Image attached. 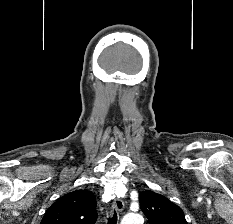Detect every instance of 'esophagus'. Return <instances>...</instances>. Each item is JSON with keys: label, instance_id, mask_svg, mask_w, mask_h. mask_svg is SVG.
Masks as SVG:
<instances>
[{"label": "esophagus", "instance_id": "esophagus-1", "mask_svg": "<svg viewBox=\"0 0 233 224\" xmlns=\"http://www.w3.org/2000/svg\"><path fill=\"white\" fill-rule=\"evenodd\" d=\"M113 207L116 211L121 212L124 209V202L121 199H115L113 202Z\"/></svg>", "mask_w": 233, "mask_h": 224}]
</instances>
